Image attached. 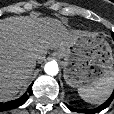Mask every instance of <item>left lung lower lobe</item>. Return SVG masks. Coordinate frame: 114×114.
Returning <instances> with one entry per match:
<instances>
[{
  "instance_id": "left-lung-lower-lobe-1",
  "label": "left lung lower lobe",
  "mask_w": 114,
  "mask_h": 114,
  "mask_svg": "<svg viewBox=\"0 0 114 114\" xmlns=\"http://www.w3.org/2000/svg\"><path fill=\"white\" fill-rule=\"evenodd\" d=\"M112 37L114 39V33H112ZM114 99V92L112 93L111 97L105 102L103 103L102 105H100L99 107L95 108V109H91V110H84L83 112H86V113H96V112H99L105 108H107L110 103L112 102V100ZM69 109H71L70 107H68ZM71 110H74V111H82V110H76V109H71Z\"/></svg>"
}]
</instances>
